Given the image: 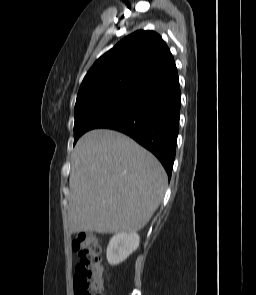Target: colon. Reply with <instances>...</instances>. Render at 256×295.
<instances>
[{
    "label": "colon",
    "mask_w": 256,
    "mask_h": 295,
    "mask_svg": "<svg viewBox=\"0 0 256 295\" xmlns=\"http://www.w3.org/2000/svg\"><path fill=\"white\" fill-rule=\"evenodd\" d=\"M72 248L80 257L73 280L74 295H103L99 240L91 234L80 232L74 237Z\"/></svg>",
    "instance_id": "5ec220e1"
}]
</instances>
